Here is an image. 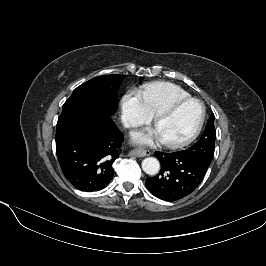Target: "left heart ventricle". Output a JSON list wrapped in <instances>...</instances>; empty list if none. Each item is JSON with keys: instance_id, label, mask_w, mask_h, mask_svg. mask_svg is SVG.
<instances>
[{"instance_id": "1", "label": "left heart ventricle", "mask_w": 266, "mask_h": 266, "mask_svg": "<svg viewBox=\"0 0 266 266\" xmlns=\"http://www.w3.org/2000/svg\"><path fill=\"white\" fill-rule=\"evenodd\" d=\"M202 109L197 103H189L156 126L162 141H178L189 136L197 127Z\"/></svg>"}]
</instances>
